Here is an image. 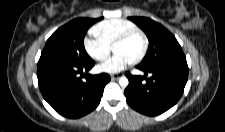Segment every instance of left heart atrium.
I'll list each match as a JSON object with an SVG mask.
<instances>
[{
  "mask_svg": "<svg viewBox=\"0 0 225 132\" xmlns=\"http://www.w3.org/2000/svg\"><path fill=\"white\" fill-rule=\"evenodd\" d=\"M132 59L124 53H116L112 58L99 66V70L105 73L115 74L124 70Z\"/></svg>",
  "mask_w": 225,
  "mask_h": 132,
  "instance_id": "left-heart-atrium-1",
  "label": "left heart atrium"
}]
</instances>
